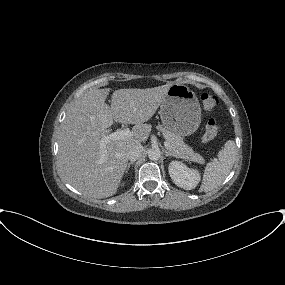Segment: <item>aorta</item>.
Segmentation results:
<instances>
[{
    "label": "aorta",
    "instance_id": "762f6f07",
    "mask_svg": "<svg viewBox=\"0 0 285 285\" xmlns=\"http://www.w3.org/2000/svg\"><path fill=\"white\" fill-rule=\"evenodd\" d=\"M161 157V151L159 148H150L148 150V158L152 161H157Z\"/></svg>",
    "mask_w": 285,
    "mask_h": 285
}]
</instances>
